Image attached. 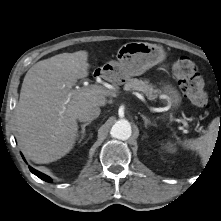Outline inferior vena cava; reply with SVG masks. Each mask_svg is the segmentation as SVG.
Returning <instances> with one entry per match:
<instances>
[{"label":"inferior vena cava","mask_w":221,"mask_h":221,"mask_svg":"<svg viewBox=\"0 0 221 221\" xmlns=\"http://www.w3.org/2000/svg\"><path fill=\"white\" fill-rule=\"evenodd\" d=\"M100 115V107L97 105H88L78 114L77 118L81 122L92 121Z\"/></svg>","instance_id":"obj_1"}]
</instances>
